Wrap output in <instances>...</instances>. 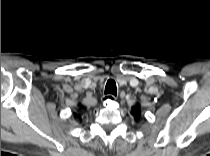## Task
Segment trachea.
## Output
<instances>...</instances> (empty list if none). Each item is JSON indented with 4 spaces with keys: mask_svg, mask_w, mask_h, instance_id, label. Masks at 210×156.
Listing matches in <instances>:
<instances>
[{
    "mask_svg": "<svg viewBox=\"0 0 210 156\" xmlns=\"http://www.w3.org/2000/svg\"><path fill=\"white\" fill-rule=\"evenodd\" d=\"M105 94H112V95L116 96L117 89H116V83L114 80L109 79L107 81L106 87H105Z\"/></svg>",
    "mask_w": 210,
    "mask_h": 156,
    "instance_id": "trachea-1",
    "label": "trachea"
}]
</instances>
